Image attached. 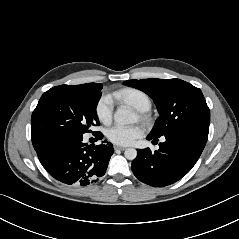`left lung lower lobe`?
<instances>
[{
	"label": "left lung lower lobe",
	"instance_id": "left-lung-lower-lobe-1",
	"mask_svg": "<svg viewBox=\"0 0 239 239\" xmlns=\"http://www.w3.org/2000/svg\"><path fill=\"white\" fill-rule=\"evenodd\" d=\"M148 140L158 139L150 135ZM154 153L149 148L137 149L131 168L143 183L155 187L170 185L185 176L199 159L207 137L193 133H170Z\"/></svg>",
	"mask_w": 239,
	"mask_h": 239
}]
</instances>
